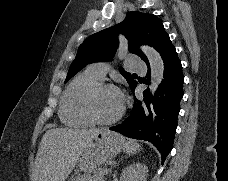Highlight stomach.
<instances>
[{
  "instance_id": "1",
  "label": "stomach",
  "mask_w": 228,
  "mask_h": 181,
  "mask_svg": "<svg viewBox=\"0 0 228 181\" xmlns=\"http://www.w3.org/2000/svg\"><path fill=\"white\" fill-rule=\"evenodd\" d=\"M124 139L117 133H111L107 129H103L100 133H96L92 139L91 145H88L84 153L79 157L77 171L83 173H96L97 165L103 161H110L117 153L123 149Z\"/></svg>"
}]
</instances>
